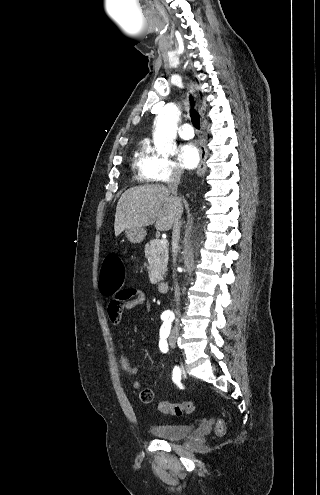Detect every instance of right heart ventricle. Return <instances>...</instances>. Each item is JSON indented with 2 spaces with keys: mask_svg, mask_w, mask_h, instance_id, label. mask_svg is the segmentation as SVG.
Segmentation results:
<instances>
[{
  "mask_svg": "<svg viewBox=\"0 0 320 495\" xmlns=\"http://www.w3.org/2000/svg\"><path fill=\"white\" fill-rule=\"evenodd\" d=\"M149 154L146 147L141 146L137 149L133 158V167L136 170L138 177L142 181L149 179L148 170Z\"/></svg>",
  "mask_w": 320,
  "mask_h": 495,
  "instance_id": "obj_1",
  "label": "right heart ventricle"
}]
</instances>
